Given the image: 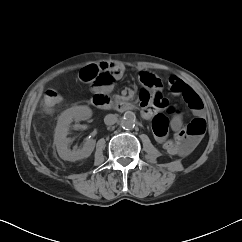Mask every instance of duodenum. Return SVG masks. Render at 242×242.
<instances>
[{"mask_svg": "<svg viewBox=\"0 0 242 242\" xmlns=\"http://www.w3.org/2000/svg\"><path fill=\"white\" fill-rule=\"evenodd\" d=\"M91 102L96 108L103 110L115 108L124 112L139 109L134 103L127 100H113L104 91H94Z\"/></svg>", "mask_w": 242, "mask_h": 242, "instance_id": "410a0bca", "label": "duodenum"}]
</instances>
